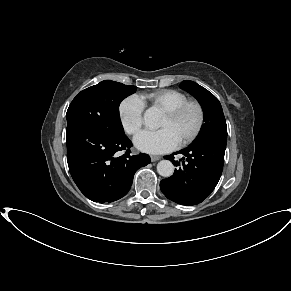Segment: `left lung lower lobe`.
<instances>
[{
    "mask_svg": "<svg viewBox=\"0 0 291 291\" xmlns=\"http://www.w3.org/2000/svg\"><path fill=\"white\" fill-rule=\"evenodd\" d=\"M226 141L206 139L193 142L179 151L182 164L173 155L165 156L175 166L174 174L160 182V189L170 200L181 205L201 203L216 187L222 174Z\"/></svg>",
    "mask_w": 291,
    "mask_h": 291,
    "instance_id": "0a47b994",
    "label": "left lung lower lobe"
}]
</instances>
